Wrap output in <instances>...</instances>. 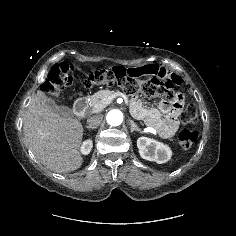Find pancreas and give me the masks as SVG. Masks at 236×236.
I'll return each mask as SVG.
<instances>
[{
	"label": "pancreas",
	"instance_id": "pancreas-1",
	"mask_svg": "<svg viewBox=\"0 0 236 236\" xmlns=\"http://www.w3.org/2000/svg\"><path fill=\"white\" fill-rule=\"evenodd\" d=\"M110 96H114V97L123 96L125 101H128V97L118 91L115 92V91H111V90H101L91 96V100H90L89 104L92 108H95L97 106H100L103 103V100L105 98L110 97Z\"/></svg>",
	"mask_w": 236,
	"mask_h": 236
}]
</instances>
